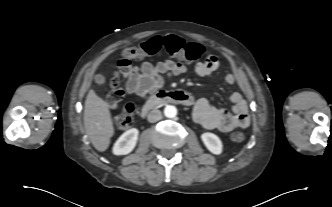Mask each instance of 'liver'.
<instances>
[{
    "label": "liver",
    "instance_id": "6515ba94",
    "mask_svg": "<svg viewBox=\"0 0 332 207\" xmlns=\"http://www.w3.org/2000/svg\"><path fill=\"white\" fill-rule=\"evenodd\" d=\"M84 127L94 148L100 152L105 151L114 134V127L109 110V104L95 91L90 89L84 108Z\"/></svg>",
    "mask_w": 332,
    "mask_h": 207
}]
</instances>
